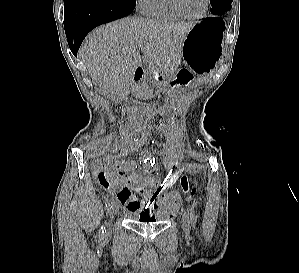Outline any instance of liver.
I'll use <instances>...</instances> for the list:
<instances>
[{
    "label": "liver",
    "mask_w": 299,
    "mask_h": 273,
    "mask_svg": "<svg viewBox=\"0 0 299 273\" xmlns=\"http://www.w3.org/2000/svg\"><path fill=\"white\" fill-rule=\"evenodd\" d=\"M196 22H164L127 17L93 30L79 57L92 81L109 98L127 95L142 64L140 50L154 68L173 74L181 64L184 40Z\"/></svg>",
    "instance_id": "6515ba94"
}]
</instances>
